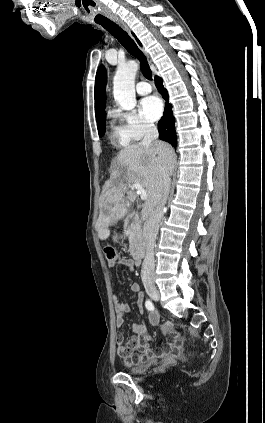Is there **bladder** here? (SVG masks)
<instances>
[{
  "instance_id": "31cf9c89",
  "label": "bladder",
  "mask_w": 265,
  "mask_h": 423,
  "mask_svg": "<svg viewBox=\"0 0 265 423\" xmlns=\"http://www.w3.org/2000/svg\"><path fill=\"white\" fill-rule=\"evenodd\" d=\"M153 363H154L153 360H151V361H145L143 364H140V365L130 366V367H128L127 372L129 374L143 373L146 370H148L152 366Z\"/></svg>"
}]
</instances>
